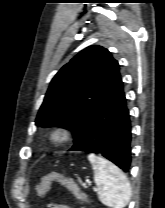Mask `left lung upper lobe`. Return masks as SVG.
I'll return each mask as SVG.
<instances>
[{
    "label": "left lung upper lobe",
    "instance_id": "1",
    "mask_svg": "<svg viewBox=\"0 0 165 208\" xmlns=\"http://www.w3.org/2000/svg\"><path fill=\"white\" fill-rule=\"evenodd\" d=\"M119 78V64L107 49L82 50L52 79L36 125L67 128L75 141Z\"/></svg>",
    "mask_w": 165,
    "mask_h": 208
}]
</instances>
